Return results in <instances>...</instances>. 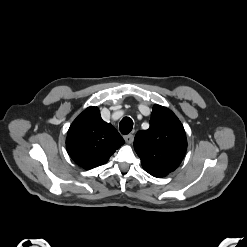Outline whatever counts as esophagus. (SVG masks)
<instances>
[{"label":"esophagus","mask_w":247,"mask_h":247,"mask_svg":"<svg viewBox=\"0 0 247 247\" xmlns=\"http://www.w3.org/2000/svg\"><path fill=\"white\" fill-rule=\"evenodd\" d=\"M124 140L128 144H132L134 141V135L133 134H128L124 136Z\"/></svg>","instance_id":"esophagus-1"}]
</instances>
